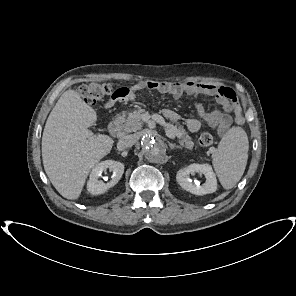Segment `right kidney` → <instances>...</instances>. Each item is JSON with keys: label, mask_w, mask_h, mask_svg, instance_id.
<instances>
[{"label": "right kidney", "mask_w": 296, "mask_h": 296, "mask_svg": "<svg viewBox=\"0 0 296 296\" xmlns=\"http://www.w3.org/2000/svg\"><path fill=\"white\" fill-rule=\"evenodd\" d=\"M109 169L113 172L111 180L107 183H104L100 180L102 173ZM124 173V165L121 162L114 160H105L94 166L90 173L89 180L87 182V190L93 195L103 194L109 188L113 187L121 179Z\"/></svg>", "instance_id": "obj_1"}]
</instances>
